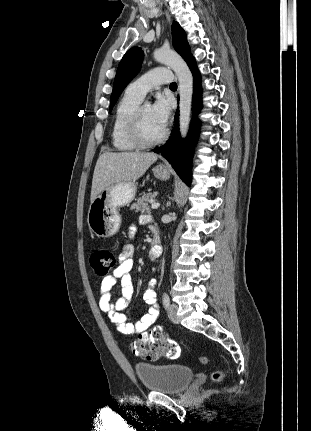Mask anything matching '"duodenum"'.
Here are the masks:
<instances>
[{"label":"duodenum","instance_id":"duodenum-1","mask_svg":"<svg viewBox=\"0 0 311 431\" xmlns=\"http://www.w3.org/2000/svg\"><path fill=\"white\" fill-rule=\"evenodd\" d=\"M162 248H161V241L160 236L158 232L153 229V237H152V243L150 247V255L153 258H157L161 254Z\"/></svg>","mask_w":311,"mask_h":431}]
</instances>
